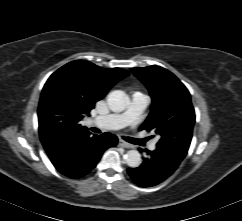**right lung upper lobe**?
<instances>
[{
  "label": "right lung upper lobe",
  "instance_id": "obj_1",
  "mask_svg": "<svg viewBox=\"0 0 242 221\" xmlns=\"http://www.w3.org/2000/svg\"><path fill=\"white\" fill-rule=\"evenodd\" d=\"M128 75L121 68L103 69L85 60L72 61L54 72L43 87L38 107L39 134L47 154L89 132L80 120Z\"/></svg>",
  "mask_w": 242,
  "mask_h": 221
}]
</instances>
